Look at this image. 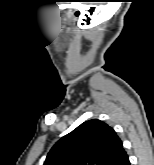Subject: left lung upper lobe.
I'll return each mask as SVG.
<instances>
[{
    "mask_svg": "<svg viewBox=\"0 0 154 165\" xmlns=\"http://www.w3.org/2000/svg\"><path fill=\"white\" fill-rule=\"evenodd\" d=\"M123 151L115 131L92 119L62 137L43 165H117Z\"/></svg>",
    "mask_w": 154,
    "mask_h": 165,
    "instance_id": "5c2ea615",
    "label": "left lung upper lobe"
}]
</instances>
